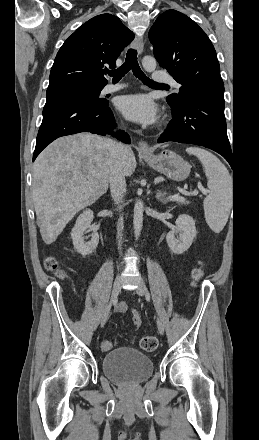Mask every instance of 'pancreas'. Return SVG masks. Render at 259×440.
<instances>
[{"label":"pancreas","instance_id":"obj_1","mask_svg":"<svg viewBox=\"0 0 259 440\" xmlns=\"http://www.w3.org/2000/svg\"><path fill=\"white\" fill-rule=\"evenodd\" d=\"M180 203H182V204H188L189 202L180 201Z\"/></svg>","mask_w":259,"mask_h":440}]
</instances>
